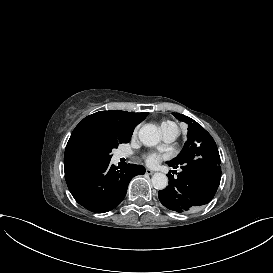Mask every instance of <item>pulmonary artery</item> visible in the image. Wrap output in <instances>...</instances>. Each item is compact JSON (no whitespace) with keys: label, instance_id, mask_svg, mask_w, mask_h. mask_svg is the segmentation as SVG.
Here are the masks:
<instances>
[{"label":"pulmonary artery","instance_id":"obj_1","mask_svg":"<svg viewBox=\"0 0 273 273\" xmlns=\"http://www.w3.org/2000/svg\"><path fill=\"white\" fill-rule=\"evenodd\" d=\"M161 131L163 133L164 141L167 143L174 142L178 136V132L176 131V127L172 123L162 126Z\"/></svg>","mask_w":273,"mask_h":273}]
</instances>
